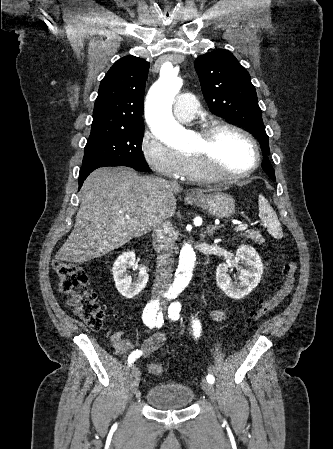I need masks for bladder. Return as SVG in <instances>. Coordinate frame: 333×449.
I'll return each instance as SVG.
<instances>
[{
    "instance_id": "bladder-1",
    "label": "bladder",
    "mask_w": 333,
    "mask_h": 449,
    "mask_svg": "<svg viewBox=\"0 0 333 449\" xmlns=\"http://www.w3.org/2000/svg\"><path fill=\"white\" fill-rule=\"evenodd\" d=\"M194 392L182 383H161L151 386L146 393L147 403L160 410L186 408L192 404Z\"/></svg>"
}]
</instances>
